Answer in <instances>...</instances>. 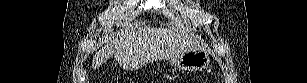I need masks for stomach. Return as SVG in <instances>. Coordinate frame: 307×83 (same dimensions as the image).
Masks as SVG:
<instances>
[{"label":"stomach","mask_w":307,"mask_h":83,"mask_svg":"<svg viewBox=\"0 0 307 83\" xmlns=\"http://www.w3.org/2000/svg\"><path fill=\"white\" fill-rule=\"evenodd\" d=\"M210 62L208 52L202 49L187 50L171 59V64L181 71H200L207 68Z\"/></svg>","instance_id":"obj_1"}]
</instances>
